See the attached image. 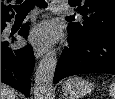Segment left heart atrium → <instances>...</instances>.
I'll list each match as a JSON object with an SVG mask.
<instances>
[{"label":"left heart atrium","mask_w":115,"mask_h":99,"mask_svg":"<svg viewBox=\"0 0 115 99\" xmlns=\"http://www.w3.org/2000/svg\"><path fill=\"white\" fill-rule=\"evenodd\" d=\"M55 36L54 28L50 24L42 23L32 30L29 40L36 47L45 48L54 42Z\"/></svg>","instance_id":"left-heart-atrium-1"}]
</instances>
